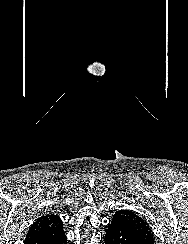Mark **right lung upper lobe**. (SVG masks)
I'll return each mask as SVG.
<instances>
[{
    "label": "right lung upper lobe",
    "instance_id": "right-lung-upper-lobe-1",
    "mask_svg": "<svg viewBox=\"0 0 188 244\" xmlns=\"http://www.w3.org/2000/svg\"><path fill=\"white\" fill-rule=\"evenodd\" d=\"M63 226L62 221L57 215L46 214L38 218L29 228L26 235L25 242L45 231L51 230L55 227Z\"/></svg>",
    "mask_w": 188,
    "mask_h": 244
}]
</instances>
